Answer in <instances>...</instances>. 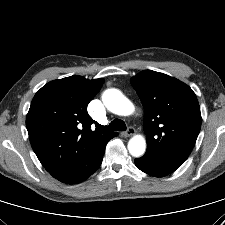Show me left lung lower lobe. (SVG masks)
Instances as JSON below:
<instances>
[{
	"instance_id": "obj_1",
	"label": "left lung lower lobe",
	"mask_w": 225,
	"mask_h": 225,
	"mask_svg": "<svg viewBox=\"0 0 225 225\" xmlns=\"http://www.w3.org/2000/svg\"><path fill=\"white\" fill-rule=\"evenodd\" d=\"M135 165L141 171L155 177H164L181 166V164L150 151H146L143 157L136 158Z\"/></svg>"
}]
</instances>
